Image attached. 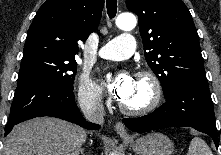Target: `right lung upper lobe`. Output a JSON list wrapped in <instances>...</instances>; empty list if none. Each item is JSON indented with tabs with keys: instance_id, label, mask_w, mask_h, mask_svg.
<instances>
[{
	"instance_id": "cb5924a9",
	"label": "right lung upper lobe",
	"mask_w": 221,
	"mask_h": 155,
	"mask_svg": "<svg viewBox=\"0 0 221 155\" xmlns=\"http://www.w3.org/2000/svg\"><path fill=\"white\" fill-rule=\"evenodd\" d=\"M104 0H47L28 30L23 56L49 53L74 58L78 41L98 27Z\"/></svg>"
}]
</instances>
